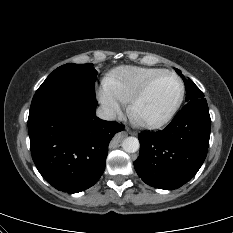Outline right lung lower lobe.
I'll return each instance as SVG.
<instances>
[{
  "label": "right lung lower lobe",
  "instance_id": "1",
  "mask_svg": "<svg viewBox=\"0 0 233 233\" xmlns=\"http://www.w3.org/2000/svg\"><path fill=\"white\" fill-rule=\"evenodd\" d=\"M96 99L57 98L30 108L33 161L42 177L69 194L93 186L105 169L108 145L124 126L96 117Z\"/></svg>",
  "mask_w": 233,
  "mask_h": 233
}]
</instances>
